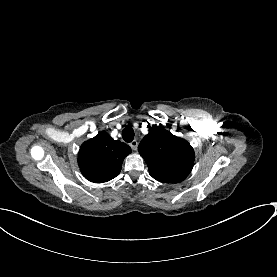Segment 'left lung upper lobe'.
Masks as SVG:
<instances>
[{
	"label": "left lung upper lobe",
	"mask_w": 277,
	"mask_h": 277,
	"mask_svg": "<svg viewBox=\"0 0 277 277\" xmlns=\"http://www.w3.org/2000/svg\"><path fill=\"white\" fill-rule=\"evenodd\" d=\"M138 151L150 175L160 182L179 183L194 165L191 145L160 126H149V133L141 140Z\"/></svg>",
	"instance_id": "left-lung-upper-lobe-1"
}]
</instances>
